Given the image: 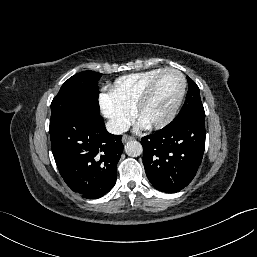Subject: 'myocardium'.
Returning a JSON list of instances; mask_svg holds the SVG:
<instances>
[{
  "label": "myocardium",
  "mask_w": 257,
  "mask_h": 257,
  "mask_svg": "<svg viewBox=\"0 0 257 257\" xmlns=\"http://www.w3.org/2000/svg\"><path fill=\"white\" fill-rule=\"evenodd\" d=\"M169 72L177 73L181 77L182 88H181L180 95H179L177 101L175 102V104L173 105V107L171 108V110L163 118H161L157 121L145 124L146 128H148V129H161V128H164L165 126H167L168 124H170L173 121V119L176 117V115L179 111V108L183 102V99L185 97L186 89H187V79H186L185 75L178 69L165 68L158 75H156L153 78V80L148 84L146 89L143 91V93L139 97V99L135 105V108H134L136 118L138 120H141L144 108L146 107V105L148 104L150 99L152 98L159 80L161 79V77L163 75H165L166 73H169Z\"/></svg>",
  "instance_id": "obj_1"
}]
</instances>
